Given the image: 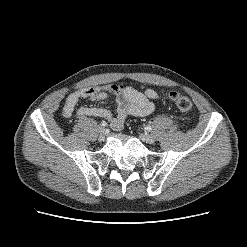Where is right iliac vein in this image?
<instances>
[{
    "mask_svg": "<svg viewBox=\"0 0 247 247\" xmlns=\"http://www.w3.org/2000/svg\"><path fill=\"white\" fill-rule=\"evenodd\" d=\"M98 132H99L100 136L103 138L105 135V128L103 126H99Z\"/></svg>",
    "mask_w": 247,
    "mask_h": 247,
    "instance_id": "63e3f726",
    "label": "right iliac vein"
}]
</instances>
